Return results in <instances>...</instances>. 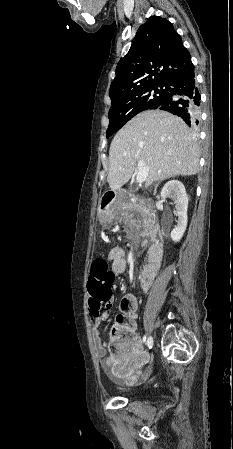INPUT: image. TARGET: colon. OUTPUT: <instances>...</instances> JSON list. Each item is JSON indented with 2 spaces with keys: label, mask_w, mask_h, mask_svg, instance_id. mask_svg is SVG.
Returning <instances> with one entry per match:
<instances>
[{
  "label": "colon",
  "mask_w": 233,
  "mask_h": 449,
  "mask_svg": "<svg viewBox=\"0 0 233 449\" xmlns=\"http://www.w3.org/2000/svg\"><path fill=\"white\" fill-rule=\"evenodd\" d=\"M111 277L108 264L105 260H95L91 264L88 276L89 309L91 314L98 315L105 310V304L111 296ZM123 309L130 311L133 300L125 297L121 301ZM135 318L131 314L119 315L111 333V345L117 350H125L134 344L131 334L134 333Z\"/></svg>",
  "instance_id": "1"
}]
</instances>
